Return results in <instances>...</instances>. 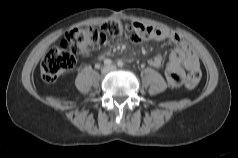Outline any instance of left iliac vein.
Segmentation results:
<instances>
[{
	"mask_svg": "<svg viewBox=\"0 0 238 158\" xmlns=\"http://www.w3.org/2000/svg\"><path fill=\"white\" fill-rule=\"evenodd\" d=\"M116 69V66H114V65H112L111 67H110V70H115Z\"/></svg>",
	"mask_w": 238,
	"mask_h": 158,
	"instance_id": "left-iliac-vein-1",
	"label": "left iliac vein"
}]
</instances>
